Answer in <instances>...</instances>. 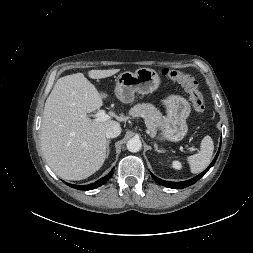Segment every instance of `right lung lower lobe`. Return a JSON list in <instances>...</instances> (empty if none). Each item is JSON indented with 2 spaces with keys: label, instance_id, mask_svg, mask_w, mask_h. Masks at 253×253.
<instances>
[{
  "label": "right lung lower lobe",
  "instance_id": "1",
  "mask_svg": "<svg viewBox=\"0 0 253 253\" xmlns=\"http://www.w3.org/2000/svg\"><path fill=\"white\" fill-rule=\"evenodd\" d=\"M112 174H113V170H111V172L108 175H106L105 177H102L101 179L97 180L95 183L88 184V185L78 186V185H73V184H68V183H67V185H69L72 188L79 189V190H84V191L85 190H92L94 188H97V187L105 184L109 180V178L112 176Z\"/></svg>",
  "mask_w": 253,
  "mask_h": 253
}]
</instances>
